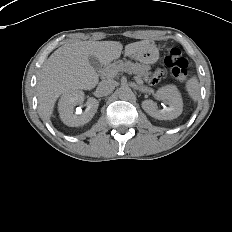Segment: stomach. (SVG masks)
Listing matches in <instances>:
<instances>
[{
	"label": "stomach",
	"mask_w": 232,
	"mask_h": 232,
	"mask_svg": "<svg viewBox=\"0 0 232 232\" xmlns=\"http://www.w3.org/2000/svg\"><path fill=\"white\" fill-rule=\"evenodd\" d=\"M133 57L144 64H154L159 59V50L154 44H148L133 54Z\"/></svg>",
	"instance_id": "0dacf381"
}]
</instances>
